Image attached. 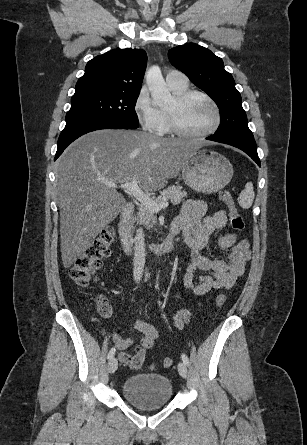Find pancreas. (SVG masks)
Returning <instances> with one entry per match:
<instances>
[{
  "mask_svg": "<svg viewBox=\"0 0 307 445\" xmlns=\"http://www.w3.org/2000/svg\"><path fill=\"white\" fill-rule=\"evenodd\" d=\"M184 196H187L186 190H181V186H167L164 190H161L160 196L155 198L156 202H165V200H171L173 204H179L182 200H185ZM135 220H141V223L147 227V229H151L154 225H157V216L155 214V210L152 208H148V206H143V208H139L138 216H136Z\"/></svg>",
  "mask_w": 307,
  "mask_h": 445,
  "instance_id": "cf45deb5",
  "label": "pancreas"
}]
</instances>
